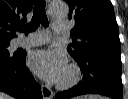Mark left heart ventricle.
Returning a JSON list of instances; mask_svg holds the SVG:
<instances>
[{
  "label": "left heart ventricle",
  "instance_id": "b2bd125f",
  "mask_svg": "<svg viewBox=\"0 0 128 99\" xmlns=\"http://www.w3.org/2000/svg\"><path fill=\"white\" fill-rule=\"evenodd\" d=\"M69 77L68 70L65 71L64 75L62 76L61 80H66Z\"/></svg>",
  "mask_w": 128,
  "mask_h": 99
}]
</instances>
